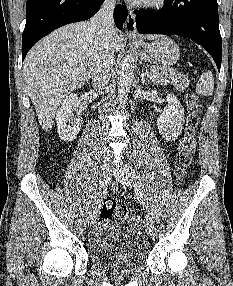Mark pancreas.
Segmentation results:
<instances>
[{"label": "pancreas", "instance_id": "obj_1", "mask_svg": "<svg viewBox=\"0 0 233 286\" xmlns=\"http://www.w3.org/2000/svg\"><path fill=\"white\" fill-rule=\"evenodd\" d=\"M151 72H157L159 75L152 78V81L156 84L171 83L179 91H184L189 86V80L183 76L176 69L171 67L152 66Z\"/></svg>", "mask_w": 233, "mask_h": 286}]
</instances>
